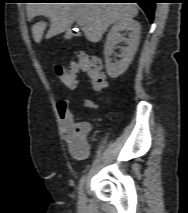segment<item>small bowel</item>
Segmentation results:
<instances>
[{"mask_svg":"<svg viewBox=\"0 0 188 213\" xmlns=\"http://www.w3.org/2000/svg\"><path fill=\"white\" fill-rule=\"evenodd\" d=\"M87 109H96L98 105L92 100L85 99ZM57 110L63 126V134L68 143L70 154L78 160H86L90 155V142L88 135L91 124L87 121H75V108L66 101L57 104Z\"/></svg>","mask_w":188,"mask_h":213,"instance_id":"c3829d8e","label":"small bowel"}]
</instances>
